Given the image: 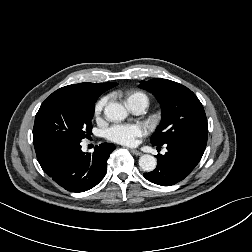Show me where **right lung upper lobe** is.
Masks as SVG:
<instances>
[{"instance_id": "obj_1", "label": "right lung upper lobe", "mask_w": 252, "mask_h": 252, "mask_svg": "<svg viewBox=\"0 0 252 252\" xmlns=\"http://www.w3.org/2000/svg\"><path fill=\"white\" fill-rule=\"evenodd\" d=\"M117 83H79L62 87L51 95H67L76 98L97 100L106 90L113 88Z\"/></svg>"}]
</instances>
